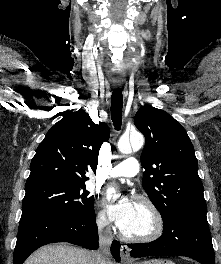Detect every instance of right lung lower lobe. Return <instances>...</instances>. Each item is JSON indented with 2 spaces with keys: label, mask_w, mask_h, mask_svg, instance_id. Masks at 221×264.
Wrapping results in <instances>:
<instances>
[{
  "label": "right lung lower lobe",
  "mask_w": 221,
  "mask_h": 264,
  "mask_svg": "<svg viewBox=\"0 0 221 264\" xmlns=\"http://www.w3.org/2000/svg\"><path fill=\"white\" fill-rule=\"evenodd\" d=\"M56 242H68L87 249L98 248L95 212L81 217H50L29 215L21 217L14 250L13 264H23L39 247ZM111 253L120 262V243L113 241Z\"/></svg>",
  "instance_id": "98d812e1"
}]
</instances>
